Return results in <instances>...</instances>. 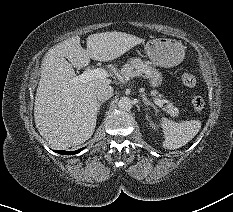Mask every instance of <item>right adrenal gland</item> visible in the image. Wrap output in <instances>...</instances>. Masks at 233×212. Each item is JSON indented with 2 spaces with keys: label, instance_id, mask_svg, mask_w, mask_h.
Masks as SVG:
<instances>
[{
  "label": "right adrenal gland",
  "instance_id": "2a0ac1e0",
  "mask_svg": "<svg viewBox=\"0 0 233 212\" xmlns=\"http://www.w3.org/2000/svg\"><path fill=\"white\" fill-rule=\"evenodd\" d=\"M104 103V101H101L98 103V106H99V109H100V106Z\"/></svg>",
  "mask_w": 233,
  "mask_h": 212
}]
</instances>
